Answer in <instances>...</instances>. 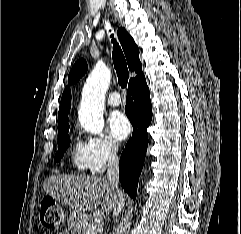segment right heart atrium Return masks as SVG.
Wrapping results in <instances>:
<instances>
[{
    "instance_id": "obj_1",
    "label": "right heart atrium",
    "mask_w": 241,
    "mask_h": 234,
    "mask_svg": "<svg viewBox=\"0 0 241 234\" xmlns=\"http://www.w3.org/2000/svg\"><path fill=\"white\" fill-rule=\"evenodd\" d=\"M86 144L91 158V170L94 172H102L118 157L119 144L110 136L90 137Z\"/></svg>"
}]
</instances>
